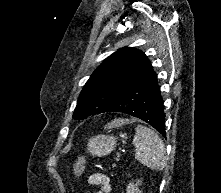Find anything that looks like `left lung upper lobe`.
<instances>
[{"mask_svg": "<svg viewBox=\"0 0 221 193\" xmlns=\"http://www.w3.org/2000/svg\"><path fill=\"white\" fill-rule=\"evenodd\" d=\"M152 69L146 55L124 47L102 62L93 72L77 101L75 119L103 113L122 92L143 73Z\"/></svg>", "mask_w": 221, "mask_h": 193, "instance_id": "1", "label": "left lung upper lobe"}]
</instances>
